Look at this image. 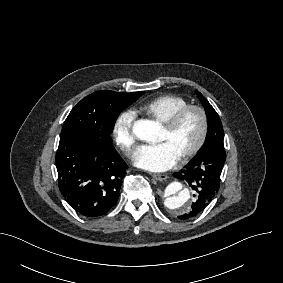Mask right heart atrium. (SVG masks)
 <instances>
[{
  "instance_id": "obj_1",
  "label": "right heart atrium",
  "mask_w": 283,
  "mask_h": 283,
  "mask_svg": "<svg viewBox=\"0 0 283 283\" xmlns=\"http://www.w3.org/2000/svg\"><path fill=\"white\" fill-rule=\"evenodd\" d=\"M134 121V112L130 109H124L116 116L111 128V136L114 144L126 156L132 153L135 146V138L132 130Z\"/></svg>"
}]
</instances>
